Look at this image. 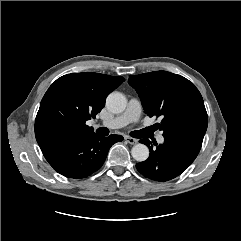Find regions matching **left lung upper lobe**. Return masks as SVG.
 Returning a JSON list of instances; mask_svg holds the SVG:
<instances>
[{"mask_svg":"<svg viewBox=\"0 0 241 241\" xmlns=\"http://www.w3.org/2000/svg\"><path fill=\"white\" fill-rule=\"evenodd\" d=\"M128 83L137 91L145 113L161 116L163 136L205 135L208 116L203 98L192 82L167 71L131 75Z\"/></svg>","mask_w":241,"mask_h":241,"instance_id":"5c2ea615","label":"left lung upper lobe"}]
</instances>
